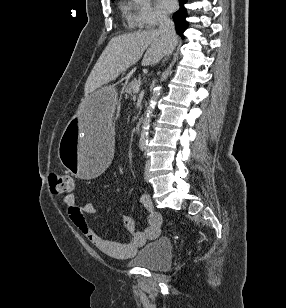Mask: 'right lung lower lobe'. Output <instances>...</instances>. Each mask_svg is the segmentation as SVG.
Masks as SVG:
<instances>
[{"instance_id":"98d812e1","label":"right lung lower lobe","mask_w":286,"mask_h":308,"mask_svg":"<svg viewBox=\"0 0 286 308\" xmlns=\"http://www.w3.org/2000/svg\"><path fill=\"white\" fill-rule=\"evenodd\" d=\"M186 2L187 0H179L181 6L180 10H178L173 14V20L175 22L176 31L181 37H183V32L188 27V22L185 20V18L187 17V12L186 8L184 7V4Z\"/></svg>"}]
</instances>
